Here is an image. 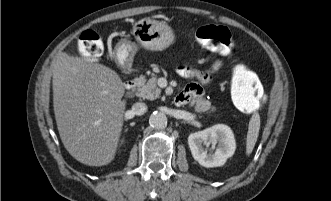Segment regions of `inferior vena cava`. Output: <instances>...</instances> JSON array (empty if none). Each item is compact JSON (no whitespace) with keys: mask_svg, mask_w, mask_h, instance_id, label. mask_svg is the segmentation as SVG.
<instances>
[{"mask_svg":"<svg viewBox=\"0 0 331 201\" xmlns=\"http://www.w3.org/2000/svg\"><path fill=\"white\" fill-rule=\"evenodd\" d=\"M146 111H147V105L142 102H136L131 109V112L137 116L143 115L144 113H146Z\"/></svg>","mask_w":331,"mask_h":201,"instance_id":"inferior-vena-cava-1","label":"inferior vena cava"}]
</instances>
